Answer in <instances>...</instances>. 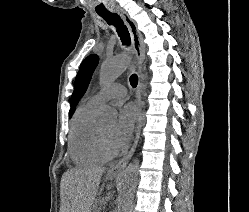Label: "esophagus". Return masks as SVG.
<instances>
[{
    "instance_id": "obj_1",
    "label": "esophagus",
    "mask_w": 249,
    "mask_h": 212,
    "mask_svg": "<svg viewBox=\"0 0 249 212\" xmlns=\"http://www.w3.org/2000/svg\"><path fill=\"white\" fill-rule=\"evenodd\" d=\"M114 11L117 12L121 16V18L124 20V22L129 28L131 39H132V45H133L134 52L138 60V71H139V83H138L137 90H136V103L138 104V107H139V120L137 124V130H136V136L134 139V143L131 149L129 150V152L127 153V155H124V157H122V159H120L116 165H113L108 169V172H110L111 175H120L123 173L128 162L132 158L136 150V147L138 145V141H139V137L141 133L142 123H143L142 96H141V91H142V86H143V76H142L141 70H142L144 59H145L146 47L143 41V35L139 31L136 22L128 15V13L125 12V10L121 7L115 8Z\"/></svg>"
}]
</instances>
